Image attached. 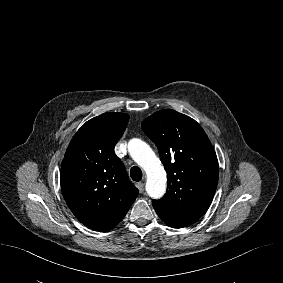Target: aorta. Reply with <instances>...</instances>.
<instances>
[{"mask_svg": "<svg viewBox=\"0 0 283 283\" xmlns=\"http://www.w3.org/2000/svg\"><path fill=\"white\" fill-rule=\"evenodd\" d=\"M128 150L133 160L147 174L146 191L151 198L159 199L166 191V172L161 162L148 144L140 139H132Z\"/></svg>", "mask_w": 283, "mask_h": 283, "instance_id": "obj_1", "label": "aorta"}]
</instances>
